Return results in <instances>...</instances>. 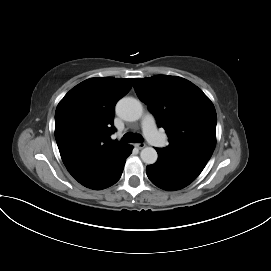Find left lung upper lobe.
I'll use <instances>...</instances> for the list:
<instances>
[{
	"label": "left lung upper lobe",
	"mask_w": 271,
	"mask_h": 271,
	"mask_svg": "<svg viewBox=\"0 0 271 271\" xmlns=\"http://www.w3.org/2000/svg\"><path fill=\"white\" fill-rule=\"evenodd\" d=\"M134 88L166 130L165 149L208 162L216 145L217 116L202 90L184 78L167 75L134 79Z\"/></svg>",
	"instance_id": "5c2ea615"
}]
</instances>
